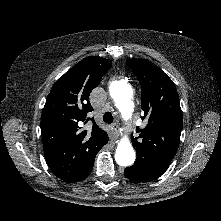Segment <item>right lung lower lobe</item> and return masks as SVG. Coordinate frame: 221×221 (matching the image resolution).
<instances>
[{"label":"right lung lower lobe","mask_w":221,"mask_h":221,"mask_svg":"<svg viewBox=\"0 0 221 221\" xmlns=\"http://www.w3.org/2000/svg\"><path fill=\"white\" fill-rule=\"evenodd\" d=\"M93 164H94V160H92V162L90 163V165L88 166L87 170L85 171L83 177L81 178V180H84L85 178H87L89 176V174L91 173L92 169H93Z\"/></svg>","instance_id":"right-lung-lower-lobe-1"}]
</instances>
